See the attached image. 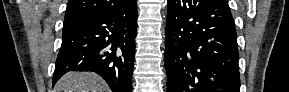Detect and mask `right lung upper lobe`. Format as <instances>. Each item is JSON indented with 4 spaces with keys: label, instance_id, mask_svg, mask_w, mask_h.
Segmentation results:
<instances>
[{
    "label": "right lung upper lobe",
    "instance_id": "cb5924a9",
    "mask_svg": "<svg viewBox=\"0 0 289 92\" xmlns=\"http://www.w3.org/2000/svg\"><path fill=\"white\" fill-rule=\"evenodd\" d=\"M131 1L132 0H69L64 27L82 18L120 8Z\"/></svg>",
    "mask_w": 289,
    "mask_h": 92
}]
</instances>
